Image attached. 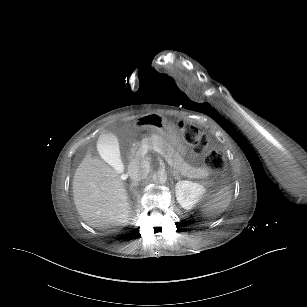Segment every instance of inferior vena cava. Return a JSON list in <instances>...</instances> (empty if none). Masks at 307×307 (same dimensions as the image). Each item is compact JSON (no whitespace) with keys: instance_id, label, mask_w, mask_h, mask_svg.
Returning a JSON list of instances; mask_svg holds the SVG:
<instances>
[{"instance_id":"602c4592","label":"inferior vena cava","mask_w":307,"mask_h":307,"mask_svg":"<svg viewBox=\"0 0 307 307\" xmlns=\"http://www.w3.org/2000/svg\"><path fill=\"white\" fill-rule=\"evenodd\" d=\"M128 174L133 181H140L148 174L146 167L138 160H132L128 165Z\"/></svg>"}]
</instances>
